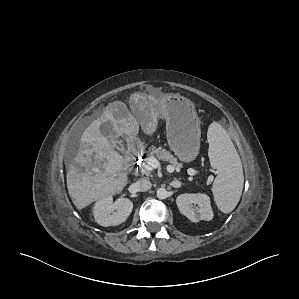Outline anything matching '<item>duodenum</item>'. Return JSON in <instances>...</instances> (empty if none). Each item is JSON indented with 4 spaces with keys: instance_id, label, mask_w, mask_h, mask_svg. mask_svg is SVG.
Instances as JSON below:
<instances>
[{
    "instance_id": "duodenum-1",
    "label": "duodenum",
    "mask_w": 299,
    "mask_h": 299,
    "mask_svg": "<svg viewBox=\"0 0 299 299\" xmlns=\"http://www.w3.org/2000/svg\"><path fill=\"white\" fill-rule=\"evenodd\" d=\"M139 153L135 146L131 145L128 148L125 164L127 167H130L138 158Z\"/></svg>"
}]
</instances>
